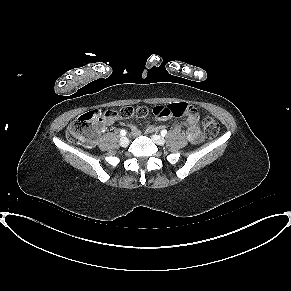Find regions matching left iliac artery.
I'll list each match as a JSON object with an SVG mask.
<instances>
[{
  "label": "left iliac artery",
  "mask_w": 291,
  "mask_h": 291,
  "mask_svg": "<svg viewBox=\"0 0 291 291\" xmlns=\"http://www.w3.org/2000/svg\"><path fill=\"white\" fill-rule=\"evenodd\" d=\"M166 134H167V130L164 129V130L161 131V135L162 136H165Z\"/></svg>",
  "instance_id": "44dca946"
}]
</instances>
